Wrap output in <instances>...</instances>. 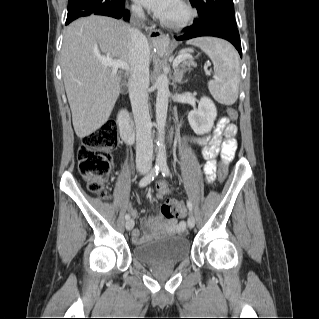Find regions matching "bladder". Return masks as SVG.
Masks as SVG:
<instances>
[{
  "instance_id": "31cf9c89",
  "label": "bladder",
  "mask_w": 319,
  "mask_h": 319,
  "mask_svg": "<svg viewBox=\"0 0 319 319\" xmlns=\"http://www.w3.org/2000/svg\"><path fill=\"white\" fill-rule=\"evenodd\" d=\"M190 252L189 240L180 235L146 240L134 248V256L145 264L158 262L177 264Z\"/></svg>"
}]
</instances>
